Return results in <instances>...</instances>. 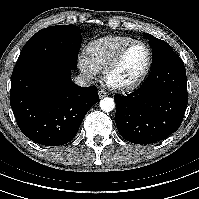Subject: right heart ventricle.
<instances>
[{
  "mask_svg": "<svg viewBox=\"0 0 199 199\" xmlns=\"http://www.w3.org/2000/svg\"><path fill=\"white\" fill-rule=\"evenodd\" d=\"M133 41L136 40L128 36L109 35L91 42L87 54L98 70H104L117 53Z\"/></svg>",
  "mask_w": 199,
  "mask_h": 199,
  "instance_id": "right-heart-ventricle-1",
  "label": "right heart ventricle"
}]
</instances>
